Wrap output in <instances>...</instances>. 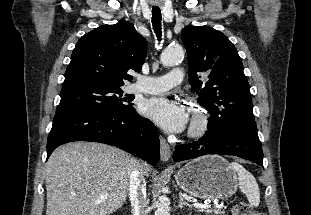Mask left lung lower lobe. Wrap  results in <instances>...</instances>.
Wrapping results in <instances>:
<instances>
[{
  "instance_id": "left-lung-lower-lobe-1",
  "label": "left lung lower lobe",
  "mask_w": 311,
  "mask_h": 215,
  "mask_svg": "<svg viewBox=\"0 0 311 215\" xmlns=\"http://www.w3.org/2000/svg\"><path fill=\"white\" fill-rule=\"evenodd\" d=\"M206 154L234 155L263 166V152L253 119H235L210 127L197 142L177 145L174 161H183Z\"/></svg>"
}]
</instances>
